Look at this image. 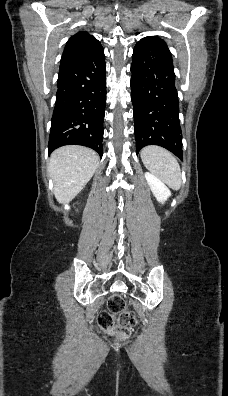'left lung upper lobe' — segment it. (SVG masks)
Listing matches in <instances>:
<instances>
[{"label":"left lung upper lobe","mask_w":228,"mask_h":396,"mask_svg":"<svg viewBox=\"0 0 228 396\" xmlns=\"http://www.w3.org/2000/svg\"><path fill=\"white\" fill-rule=\"evenodd\" d=\"M143 39H154V40H157V41H160V42L166 44L162 39H160L158 37H155V36H148V37H145Z\"/></svg>","instance_id":"1"}]
</instances>
